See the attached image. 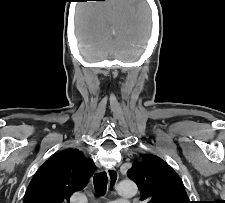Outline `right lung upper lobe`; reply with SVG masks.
<instances>
[{"label":"right lung upper lobe","instance_id":"obj_1","mask_svg":"<svg viewBox=\"0 0 225 203\" xmlns=\"http://www.w3.org/2000/svg\"><path fill=\"white\" fill-rule=\"evenodd\" d=\"M95 164L77 149L63 150L50 157L32 178L23 203H68L83 189Z\"/></svg>","mask_w":225,"mask_h":203}]
</instances>
